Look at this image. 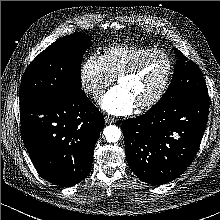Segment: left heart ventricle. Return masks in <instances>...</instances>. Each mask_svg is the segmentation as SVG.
Segmentation results:
<instances>
[{
	"instance_id": "1",
	"label": "left heart ventricle",
	"mask_w": 220,
	"mask_h": 220,
	"mask_svg": "<svg viewBox=\"0 0 220 220\" xmlns=\"http://www.w3.org/2000/svg\"><path fill=\"white\" fill-rule=\"evenodd\" d=\"M167 70L166 59L155 55L144 62L135 76L121 79L118 86L132 96L137 106L156 94L166 77Z\"/></svg>"
}]
</instances>
